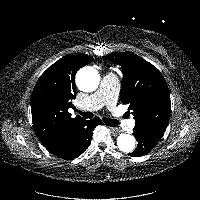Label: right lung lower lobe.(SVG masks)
I'll use <instances>...</instances> for the list:
<instances>
[{"mask_svg": "<svg viewBox=\"0 0 200 200\" xmlns=\"http://www.w3.org/2000/svg\"><path fill=\"white\" fill-rule=\"evenodd\" d=\"M99 124H102V121L98 117L92 120L83 119L56 147L49 151L67 160L78 157L90 146L92 131Z\"/></svg>", "mask_w": 200, "mask_h": 200, "instance_id": "1", "label": "right lung lower lobe"}]
</instances>
